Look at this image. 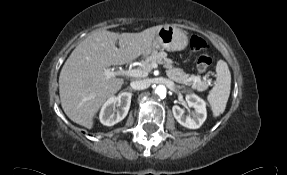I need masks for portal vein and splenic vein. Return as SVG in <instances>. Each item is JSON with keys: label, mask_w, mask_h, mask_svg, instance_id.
<instances>
[{"label": "portal vein and splenic vein", "mask_w": 287, "mask_h": 175, "mask_svg": "<svg viewBox=\"0 0 287 175\" xmlns=\"http://www.w3.org/2000/svg\"><path fill=\"white\" fill-rule=\"evenodd\" d=\"M153 68H157V64L156 63H153L151 65V69ZM148 71L147 70H143V69H132V70H119V71H116V72H112L110 70H106L104 72L105 76L107 78H111L113 76H116V75H125V76H130V77H146L148 75Z\"/></svg>", "instance_id": "18ae733b"}]
</instances>
